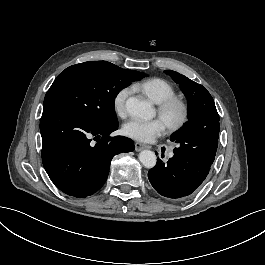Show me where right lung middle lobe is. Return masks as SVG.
Instances as JSON below:
<instances>
[{"label": "right lung middle lobe", "mask_w": 265, "mask_h": 265, "mask_svg": "<svg viewBox=\"0 0 265 265\" xmlns=\"http://www.w3.org/2000/svg\"><path fill=\"white\" fill-rule=\"evenodd\" d=\"M144 76L106 61H88L60 73L44 99L43 111L56 110L93 127L118 124L114 101L120 90Z\"/></svg>", "instance_id": "dd1d6c3e"}]
</instances>
